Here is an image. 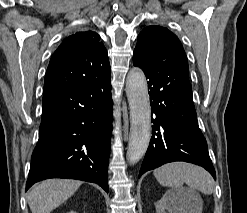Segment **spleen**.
I'll use <instances>...</instances> for the list:
<instances>
[{
	"instance_id": "1",
	"label": "spleen",
	"mask_w": 247,
	"mask_h": 213,
	"mask_svg": "<svg viewBox=\"0 0 247 213\" xmlns=\"http://www.w3.org/2000/svg\"><path fill=\"white\" fill-rule=\"evenodd\" d=\"M154 176L162 186L180 190L186 183L203 194H212L214 180L203 168L185 162H172L154 170Z\"/></svg>"
}]
</instances>
